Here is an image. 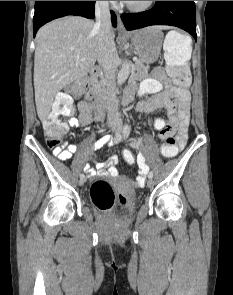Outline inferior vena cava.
Wrapping results in <instances>:
<instances>
[{"label":"inferior vena cava","mask_w":233,"mask_h":295,"mask_svg":"<svg viewBox=\"0 0 233 295\" xmlns=\"http://www.w3.org/2000/svg\"><path fill=\"white\" fill-rule=\"evenodd\" d=\"M108 7V1H96L95 29L98 31V62L104 72L105 103L108 116L119 118L114 68L117 51L111 34V15Z\"/></svg>","instance_id":"obj_1"}]
</instances>
